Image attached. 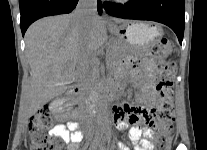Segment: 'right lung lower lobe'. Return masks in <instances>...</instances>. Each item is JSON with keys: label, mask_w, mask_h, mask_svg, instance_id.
<instances>
[{"label": "right lung lower lobe", "mask_w": 207, "mask_h": 150, "mask_svg": "<svg viewBox=\"0 0 207 150\" xmlns=\"http://www.w3.org/2000/svg\"><path fill=\"white\" fill-rule=\"evenodd\" d=\"M78 0H19L20 26L24 36L27 28L37 19L70 13L77 5ZM98 12L102 14V2L98 0Z\"/></svg>", "instance_id": "1"}]
</instances>
